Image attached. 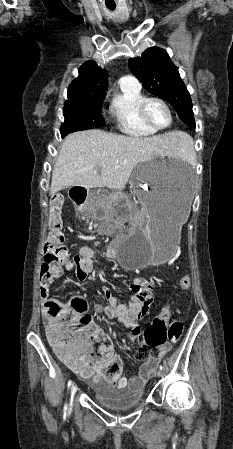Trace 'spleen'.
I'll return each instance as SVG.
<instances>
[{
  "mask_svg": "<svg viewBox=\"0 0 233 449\" xmlns=\"http://www.w3.org/2000/svg\"><path fill=\"white\" fill-rule=\"evenodd\" d=\"M183 141L184 144L181 145L175 153L179 156L190 157L192 154L191 139L188 135L184 134V139H181V142Z\"/></svg>",
  "mask_w": 233,
  "mask_h": 449,
  "instance_id": "obj_1",
  "label": "spleen"
}]
</instances>
